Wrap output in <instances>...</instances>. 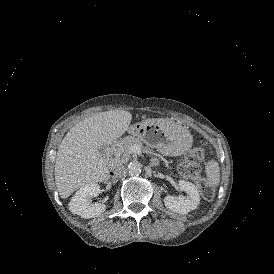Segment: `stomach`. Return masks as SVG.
<instances>
[{
    "instance_id": "obj_1",
    "label": "stomach",
    "mask_w": 274,
    "mask_h": 274,
    "mask_svg": "<svg viewBox=\"0 0 274 274\" xmlns=\"http://www.w3.org/2000/svg\"><path fill=\"white\" fill-rule=\"evenodd\" d=\"M178 124L170 119L147 118L127 128L130 136L139 138L152 149L166 156H179L191 145L188 132L177 135L173 132Z\"/></svg>"
}]
</instances>
